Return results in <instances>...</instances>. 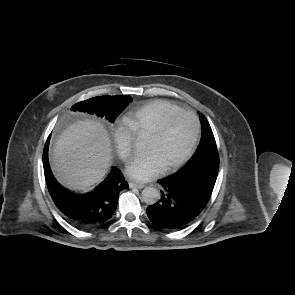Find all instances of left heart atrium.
<instances>
[{"mask_svg": "<svg viewBox=\"0 0 295 295\" xmlns=\"http://www.w3.org/2000/svg\"><path fill=\"white\" fill-rule=\"evenodd\" d=\"M164 169L159 159L154 153L147 152L135 157L127 167V173L130 177L146 181L157 176Z\"/></svg>", "mask_w": 295, "mask_h": 295, "instance_id": "1", "label": "left heart atrium"}]
</instances>
